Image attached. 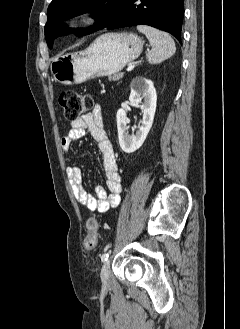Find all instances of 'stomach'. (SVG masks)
Instances as JSON below:
<instances>
[{"mask_svg":"<svg viewBox=\"0 0 240 329\" xmlns=\"http://www.w3.org/2000/svg\"><path fill=\"white\" fill-rule=\"evenodd\" d=\"M143 42L133 33H106L87 49L56 56L50 70L63 85L83 83L89 79L111 76L139 57Z\"/></svg>","mask_w":240,"mask_h":329,"instance_id":"stomach-1","label":"stomach"}]
</instances>
